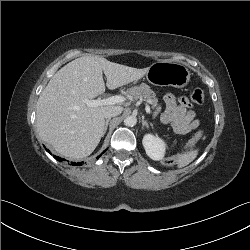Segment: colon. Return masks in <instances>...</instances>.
I'll return each instance as SVG.
<instances>
[{
	"instance_id": "1",
	"label": "colon",
	"mask_w": 250,
	"mask_h": 250,
	"mask_svg": "<svg viewBox=\"0 0 250 250\" xmlns=\"http://www.w3.org/2000/svg\"><path fill=\"white\" fill-rule=\"evenodd\" d=\"M205 99L204 91L201 88H195L191 93V100L196 104H202ZM203 131H197L191 139L188 141L187 146L189 148L196 145V143L202 138ZM189 154V149L187 147H182L176 151L173 156H159L158 162L163 167H173L178 165L183 161V158Z\"/></svg>"
}]
</instances>
